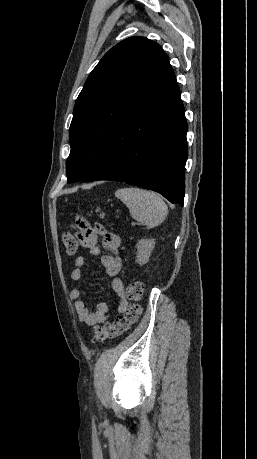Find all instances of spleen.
Masks as SVG:
<instances>
[{
    "instance_id": "spleen-1",
    "label": "spleen",
    "mask_w": 257,
    "mask_h": 459,
    "mask_svg": "<svg viewBox=\"0 0 257 459\" xmlns=\"http://www.w3.org/2000/svg\"><path fill=\"white\" fill-rule=\"evenodd\" d=\"M115 196L128 207L133 219L145 224L148 228L161 224L168 214L166 203L155 192L128 187L118 189Z\"/></svg>"
}]
</instances>
